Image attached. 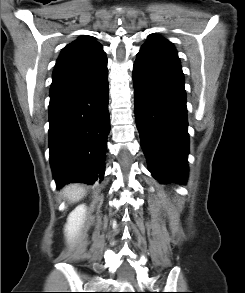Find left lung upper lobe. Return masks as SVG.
<instances>
[{"instance_id":"obj_1","label":"left lung upper lobe","mask_w":245,"mask_h":293,"mask_svg":"<svg viewBox=\"0 0 245 293\" xmlns=\"http://www.w3.org/2000/svg\"><path fill=\"white\" fill-rule=\"evenodd\" d=\"M142 48H149L157 52L164 53L179 61L177 51L173 47V44L158 35L149 38Z\"/></svg>"}]
</instances>
